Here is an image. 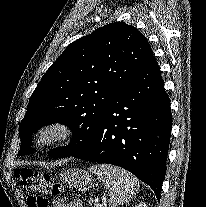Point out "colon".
<instances>
[{"label": "colon", "instance_id": "1", "mask_svg": "<svg viewBox=\"0 0 206 207\" xmlns=\"http://www.w3.org/2000/svg\"><path fill=\"white\" fill-rule=\"evenodd\" d=\"M15 175L21 189L28 196L29 207H50L47 195H59L63 188L48 173L35 172L30 168L19 167Z\"/></svg>", "mask_w": 206, "mask_h": 207}]
</instances>
